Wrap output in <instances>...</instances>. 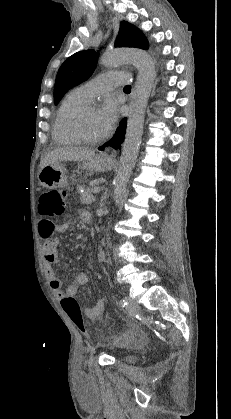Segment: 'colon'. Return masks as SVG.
I'll return each mask as SVG.
<instances>
[{
  "instance_id": "colon-1",
  "label": "colon",
  "mask_w": 231,
  "mask_h": 419,
  "mask_svg": "<svg viewBox=\"0 0 231 419\" xmlns=\"http://www.w3.org/2000/svg\"><path fill=\"white\" fill-rule=\"evenodd\" d=\"M66 209V192L63 189H52L43 193L39 198L38 210L47 217H60L64 214ZM63 310L72 320V322L79 328L85 337H88V331L85 327L80 306L78 302L70 296L64 297L61 300ZM125 338H117L112 341L115 346H122Z\"/></svg>"
}]
</instances>
